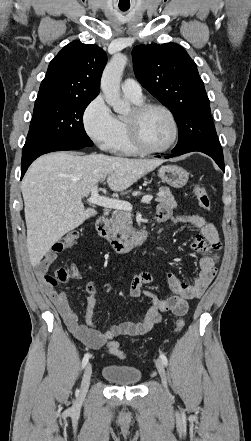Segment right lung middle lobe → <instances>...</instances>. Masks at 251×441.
I'll return each mask as SVG.
<instances>
[{
  "mask_svg": "<svg viewBox=\"0 0 251 441\" xmlns=\"http://www.w3.org/2000/svg\"><path fill=\"white\" fill-rule=\"evenodd\" d=\"M94 98L36 101L29 135H39L62 143L92 146L83 126V113Z\"/></svg>",
  "mask_w": 251,
  "mask_h": 441,
  "instance_id": "dd1d6c3e",
  "label": "right lung middle lobe"
}]
</instances>
